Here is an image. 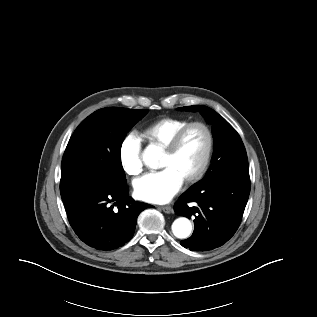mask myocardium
I'll list each match as a JSON object with an SVG mask.
<instances>
[{"label": "myocardium", "instance_id": "f54148a6", "mask_svg": "<svg viewBox=\"0 0 317 317\" xmlns=\"http://www.w3.org/2000/svg\"><path fill=\"white\" fill-rule=\"evenodd\" d=\"M193 127H201L205 131L207 135V148L200 167L193 175L184 180L186 184H194L200 181L209 168L214 150V135L212 129L207 123L203 121L189 122L173 136L168 145L164 148L165 154L170 156L176 154L181 146V143L186 133Z\"/></svg>", "mask_w": 317, "mask_h": 317}]
</instances>
